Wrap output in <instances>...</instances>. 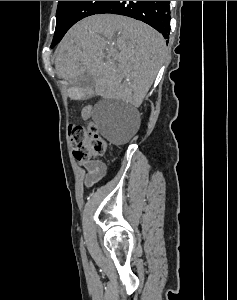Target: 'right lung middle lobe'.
<instances>
[{"instance_id": "right-lung-middle-lobe-1", "label": "right lung middle lobe", "mask_w": 237, "mask_h": 300, "mask_svg": "<svg viewBox=\"0 0 237 300\" xmlns=\"http://www.w3.org/2000/svg\"><path fill=\"white\" fill-rule=\"evenodd\" d=\"M108 1H59L56 13V29L51 47L79 20L96 14Z\"/></svg>"}]
</instances>
